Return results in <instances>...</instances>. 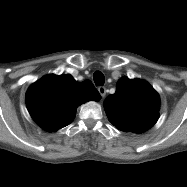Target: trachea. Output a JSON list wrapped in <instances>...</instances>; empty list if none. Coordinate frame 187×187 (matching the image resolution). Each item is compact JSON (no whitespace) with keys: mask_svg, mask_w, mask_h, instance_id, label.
<instances>
[{"mask_svg":"<svg viewBox=\"0 0 187 187\" xmlns=\"http://www.w3.org/2000/svg\"><path fill=\"white\" fill-rule=\"evenodd\" d=\"M93 79H94V82H95L96 86H103L104 85L105 77L102 74V72L96 71L93 74Z\"/></svg>","mask_w":187,"mask_h":187,"instance_id":"3493384b","label":"trachea"}]
</instances>
